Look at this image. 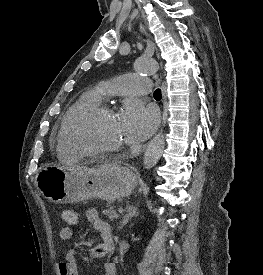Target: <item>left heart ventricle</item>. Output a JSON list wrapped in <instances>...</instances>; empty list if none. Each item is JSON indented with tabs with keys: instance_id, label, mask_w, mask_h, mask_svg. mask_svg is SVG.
<instances>
[{
	"instance_id": "left-heart-ventricle-1",
	"label": "left heart ventricle",
	"mask_w": 263,
	"mask_h": 275,
	"mask_svg": "<svg viewBox=\"0 0 263 275\" xmlns=\"http://www.w3.org/2000/svg\"><path fill=\"white\" fill-rule=\"evenodd\" d=\"M76 138L89 148H111L128 143L119 117L115 114L101 115L84 124L77 132Z\"/></svg>"
}]
</instances>
